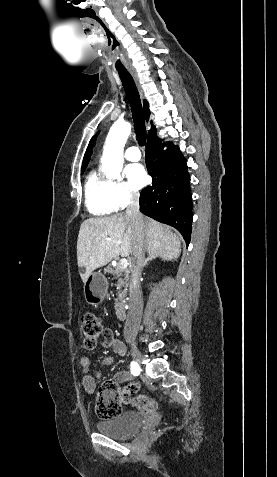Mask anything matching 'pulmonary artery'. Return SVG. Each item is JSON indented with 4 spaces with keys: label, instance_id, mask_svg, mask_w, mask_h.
<instances>
[{
    "label": "pulmonary artery",
    "instance_id": "pulmonary-artery-1",
    "mask_svg": "<svg viewBox=\"0 0 277 477\" xmlns=\"http://www.w3.org/2000/svg\"><path fill=\"white\" fill-rule=\"evenodd\" d=\"M125 157L130 161H138L141 158L140 150L135 147H128L125 151Z\"/></svg>",
    "mask_w": 277,
    "mask_h": 477
}]
</instances>
